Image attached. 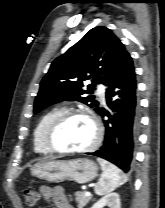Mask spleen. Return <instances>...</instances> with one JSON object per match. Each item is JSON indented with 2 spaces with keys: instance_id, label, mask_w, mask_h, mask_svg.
Listing matches in <instances>:
<instances>
[{
  "instance_id": "obj_1",
  "label": "spleen",
  "mask_w": 165,
  "mask_h": 208,
  "mask_svg": "<svg viewBox=\"0 0 165 208\" xmlns=\"http://www.w3.org/2000/svg\"><path fill=\"white\" fill-rule=\"evenodd\" d=\"M97 161L102 168L101 177L95 186L97 195L101 196L114 191L127 181L126 176L118 167L102 158H98Z\"/></svg>"
}]
</instances>
